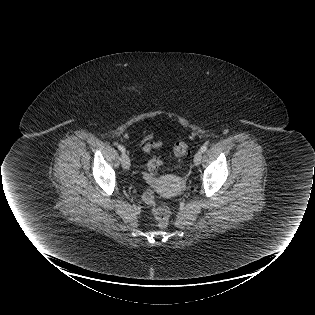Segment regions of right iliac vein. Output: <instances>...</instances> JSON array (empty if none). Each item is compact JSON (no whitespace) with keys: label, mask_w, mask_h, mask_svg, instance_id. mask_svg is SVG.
<instances>
[{"label":"right iliac vein","mask_w":315,"mask_h":315,"mask_svg":"<svg viewBox=\"0 0 315 315\" xmlns=\"http://www.w3.org/2000/svg\"><path fill=\"white\" fill-rule=\"evenodd\" d=\"M121 164L124 169L129 170L130 168V159L127 154L123 153L121 156Z\"/></svg>","instance_id":"63e3f726"}]
</instances>
